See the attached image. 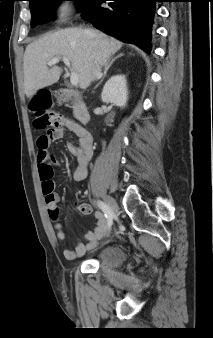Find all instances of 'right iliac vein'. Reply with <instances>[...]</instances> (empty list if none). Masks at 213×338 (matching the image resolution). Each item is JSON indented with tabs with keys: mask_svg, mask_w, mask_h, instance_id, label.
Wrapping results in <instances>:
<instances>
[{
	"mask_svg": "<svg viewBox=\"0 0 213 338\" xmlns=\"http://www.w3.org/2000/svg\"><path fill=\"white\" fill-rule=\"evenodd\" d=\"M104 201L114 215L119 214V207L113 198L110 196H104Z\"/></svg>",
	"mask_w": 213,
	"mask_h": 338,
	"instance_id": "63e3f726",
	"label": "right iliac vein"
}]
</instances>
